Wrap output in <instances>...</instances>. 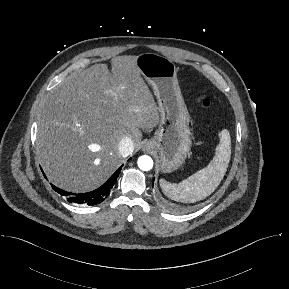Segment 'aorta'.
I'll return each mask as SVG.
<instances>
[{
	"mask_svg": "<svg viewBox=\"0 0 289 289\" xmlns=\"http://www.w3.org/2000/svg\"><path fill=\"white\" fill-rule=\"evenodd\" d=\"M138 167L143 171H149L153 167V160L150 156L143 155L138 158Z\"/></svg>",
	"mask_w": 289,
	"mask_h": 289,
	"instance_id": "1",
	"label": "aorta"
}]
</instances>
